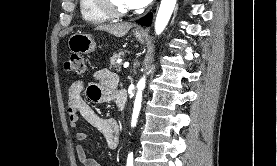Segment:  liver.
Listing matches in <instances>:
<instances>
[{
	"label": "liver",
	"instance_id": "1",
	"mask_svg": "<svg viewBox=\"0 0 277 166\" xmlns=\"http://www.w3.org/2000/svg\"><path fill=\"white\" fill-rule=\"evenodd\" d=\"M131 27L132 25L130 23H115L100 25L96 28V30L108 32L116 37H123L128 33Z\"/></svg>",
	"mask_w": 277,
	"mask_h": 166
}]
</instances>
